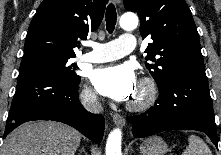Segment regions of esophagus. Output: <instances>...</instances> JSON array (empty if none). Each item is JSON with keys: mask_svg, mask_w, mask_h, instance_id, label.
<instances>
[{"mask_svg": "<svg viewBox=\"0 0 221 155\" xmlns=\"http://www.w3.org/2000/svg\"><path fill=\"white\" fill-rule=\"evenodd\" d=\"M114 2L116 4H120L121 0H114ZM112 117H113V121L116 125H118V126H124L125 125V119L122 115H120L118 113H114Z\"/></svg>", "mask_w": 221, "mask_h": 155, "instance_id": "34e87169", "label": "esophagus"}]
</instances>
